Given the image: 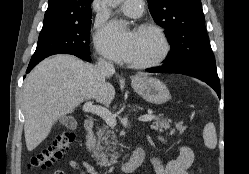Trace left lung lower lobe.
I'll return each mask as SVG.
<instances>
[{"label": "left lung lower lobe", "instance_id": "0a47b994", "mask_svg": "<svg viewBox=\"0 0 249 174\" xmlns=\"http://www.w3.org/2000/svg\"><path fill=\"white\" fill-rule=\"evenodd\" d=\"M147 72L178 73L197 78L212 87L220 98V81L215 62H196L177 68L164 65L155 69H147Z\"/></svg>", "mask_w": 249, "mask_h": 174}]
</instances>
